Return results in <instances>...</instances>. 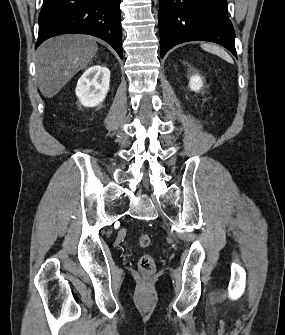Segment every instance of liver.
Wrapping results in <instances>:
<instances>
[{
  "label": "liver",
  "mask_w": 285,
  "mask_h": 335,
  "mask_svg": "<svg viewBox=\"0 0 285 335\" xmlns=\"http://www.w3.org/2000/svg\"><path fill=\"white\" fill-rule=\"evenodd\" d=\"M92 36L67 34L44 42L36 52V78L45 98L56 96L65 84L94 58L98 46Z\"/></svg>",
  "instance_id": "obj_1"
}]
</instances>
